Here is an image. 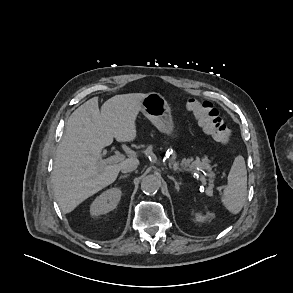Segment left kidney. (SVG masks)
<instances>
[{
  "label": "left kidney",
  "instance_id": "obj_1",
  "mask_svg": "<svg viewBox=\"0 0 293 293\" xmlns=\"http://www.w3.org/2000/svg\"><path fill=\"white\" fill-rule=\"evenodd\" d=\"M192 214L194 215L195 220L198 222H203L205 220H209L214 217V213H211V212H207L206 215H202L201 213H194V212H192Z\"/></svg>",
  "mask_w": 293,
  "mask_h": 293
}]
</instances>
